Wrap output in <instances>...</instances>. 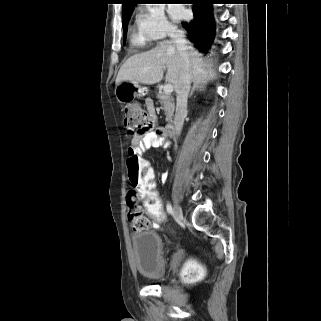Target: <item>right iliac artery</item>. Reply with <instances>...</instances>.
<instances>
[{"label":"right iliac artery","instance_id":"1","mask_svg":"<svg viewBox=\"0 0 321 321\" xmlns=\"http://www.w3.org/2000/svg\"><path fill=\"white\" fill-rule=\"evenodd\" d=\"M166 208H167V212H168L169 214H171V213H172V206H171L170 203L167 204Z\"/></svg>","mask_w":321,"mask_h":321}]
</instances>
